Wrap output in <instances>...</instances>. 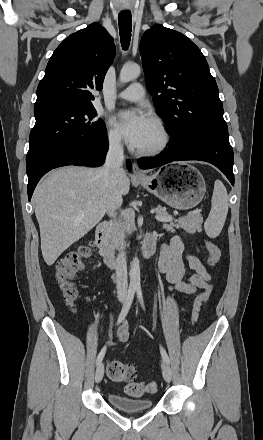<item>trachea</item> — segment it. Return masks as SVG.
I'll use <instances>...</instances> for the list:
<instances>
[{
    "label": "trachea",
    "instance_id": "trachea-1",
    "mask_svg": "<svg viewBox=\"0 0 263 440\" xmlns=\"http://www.w3.org/2000/svg\"><path fill=\"white\" fill-rule=\"evenodd\" d=\"M121 45L126 50L130 45L132 32V16L130 12H121L118 16Z\"/></svg>",
    "mask_w": 263,
    "mask_h": 440
}]
</instances>
